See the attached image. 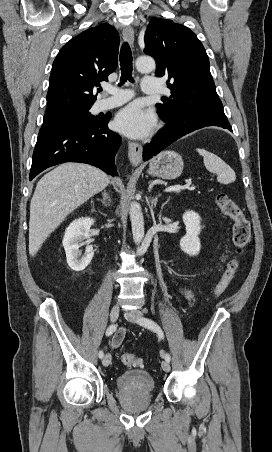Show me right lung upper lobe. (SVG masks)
<instances>
[{
    "mask_svg": "<svg viewBox=\"0 0 272 452\" xmlns=\"http://www.w3.org/2000/svg\"><path fill=\"white\" fill-rule=\"evenodd\" d=\"M119 42L116 29L102 24L66 43L53 62L45 115L92 106L93 89L117 68Z\"/></svg>",
    "mask_w": 272,
    "mask_h": 452,
    "instance_id": "obj_1",
    "label": "right lung upper lobe"
}]
</instances>
